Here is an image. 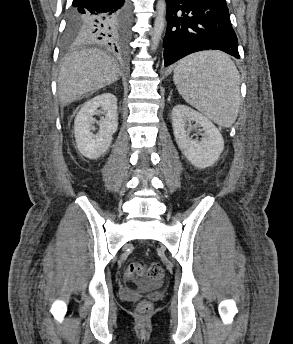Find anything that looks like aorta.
<instances>
[{"label":"aorta","mask_w":293,"mask_h":344,"mask_svg":"<svg viewBox=\"0 0 293 344\" xmlns=\"http://www.w3.org/2000/svg\"><path fill=\"white\" fill-rule=\"evenodd\" d=\"M157 14L154 21V28L151 37V51H155L158 47L159 41L162 37L166 25V2L165 0H158L156 6Z\"/></svg>","instance_id":"aorta-1"}]
</instances>
